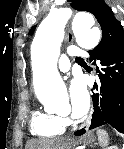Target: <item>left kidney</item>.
Here are the masks:
<instances>
[{"label":"left kidney","instance_id":"left-kidney-1","mask_svg":"<svg viewBox=\"0 0 124 149\" xmlns=\"http://www.w3.org/2000/svg\"><path fill=\"white\" fill-rule=\"evenodd\" d=\"M108 149H118L117 146H111V147H108Z\"/></svg>","mask_w":124,"mask_h":149}]
</instances>
